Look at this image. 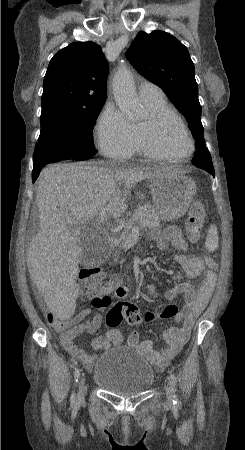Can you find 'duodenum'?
Here are the masks:
<instances>
[{"mask_svg":"<svg viewBox=\"0 0 245 450\" xmlns=\"http://www.w3.org/2000/svg\"><path fill=\"white\" fill-rule=\"evenodd\" d=\"M108 245L111 249L116 250L119 246V242L116 238L111 237L108 239Z\"/></svg>","mask_w":245,"mask_h":450,"instance_id":"obj_1","label":"duodenum"}]
</instances>
